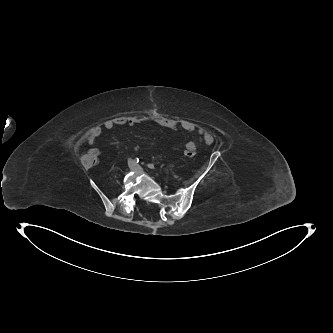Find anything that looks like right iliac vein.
<instances>
[{"label": "right iliac vein", "mask_w": 333, "mask_h": 333, "mask_svg": "<svg viewBox=\"0 0 333 333\" xmlns=\"http://www.w3.org/2000/svg\"><path fill=\"white\" fill-rule=\"evenodd\" d=\"M131 170H134V167H133V166L131 167Z\"/></svg>", "instance_id": "obj_1"}]
</instances>
